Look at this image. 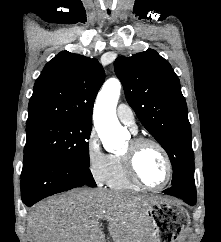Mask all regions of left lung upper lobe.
I'll list each match as a JSON object with an SVG mask.
<instances>
[{
	"mask_svg": "<svg viewBox=\"0 0 221 242\" xmlns=\"http://www.w3.org/2000/svg\"><path fill=\"white\" fill-rule=\"evenodd\" d=\"M128 104L169 155L172 185L194 177L191 126L180 81L168 61L148 49L114 63Z\"/></svg>",
	"mask_w": 221,
	"mask_h": 242,
	"instance_id": "1",
	"label": "left lung upper lobe"
}]
</instances>
